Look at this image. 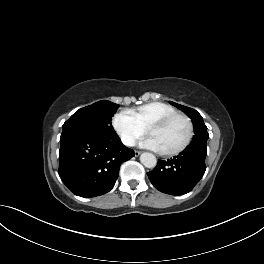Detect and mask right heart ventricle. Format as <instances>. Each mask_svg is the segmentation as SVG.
<instances>
[{
    "instance_id": "right-heart-ventricle-1",
    "label": "right heart ventricle",
    "mask_w": 264,
    "mask_h": 264,
    "mask_svg": "<svg viewBox=\"0 0 264 264\" xmlns=\"http://www.w3.org/2000/svg\"><path fill=\"white\" fill-rule=\"evenodd\" d=\"M136 123L148 130L153 124L167 115L176 112L175 108L165 102H151L140 106L136 110H127Z\"/></svg>"
}]
</instances>
